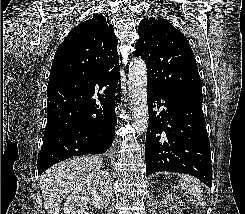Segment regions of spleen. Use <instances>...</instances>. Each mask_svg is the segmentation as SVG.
I'll use <instances>...</instances> for the list:
<instances>
[{
    "mask_svg": "<svg viewBox=\"0 0 245 214\" xmlns=\"http://www.w3.org/2000/svg\"><path fill=\"white\" fill-rule=\"evenodd\" d=\"M179 186L189 194L195 196L200 206H204L201 186L196 179L182 175L179 180Z\"/></svg>",
    "mask_w": 245,
    "mask_h": 214,
    "instance_id": "spleen-1",
    "label": "spleen"
}]
</instances>
